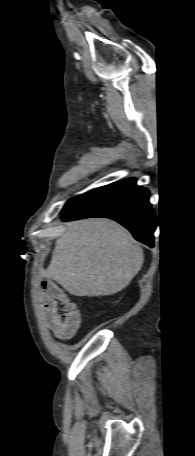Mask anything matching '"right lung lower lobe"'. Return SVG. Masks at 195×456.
I'll return each instance as SVG.
<instances>
[{
  "label": "right lung lower lobe",
  "instance_id": "obj_1",
  "mask_svg": "<svg viewBox=\"0 0 195 456\" xmlns=\"http://www.w3.org/2000/svg\"><path fill=\"white\" fill-rule=\"evenodd\" d=\"M64 220L91 217L113 219L126 227L138 241L153 247L157 220L149 203V191L128 178L107 185L75 208L62 212Z\"/></svg>",
  "mask_w": 195,
  "mask_h": 456
}]
</instances>
